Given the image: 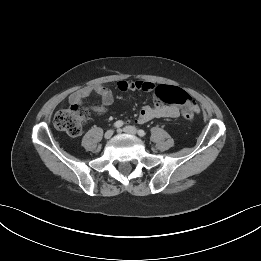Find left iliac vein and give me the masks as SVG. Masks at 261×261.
<instances>
[{
	"instance_id": "1",
	"label": "left iliac vein",
	"mask_w": 261,
	"mask_h": 261,
	"mask_svg": "<svg viewBox=\"0 0 261 261\" xmlns=\"http://www.w3.org/2000/svg\"><path fill=\"white\" fill-rule=\"evenodd\" d=\"M123 131L127 134L136 135L137 129L134 126H126L123 128Z\"/></svg>"
}]
</instances>
